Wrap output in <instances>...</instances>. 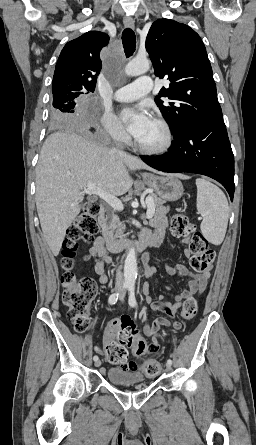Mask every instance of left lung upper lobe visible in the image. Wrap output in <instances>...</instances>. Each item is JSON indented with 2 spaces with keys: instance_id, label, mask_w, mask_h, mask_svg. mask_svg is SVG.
Returning a JSON list of instances; mask_svg holds the SVG:
<instances>
[{
  "instance_id": "5c2ea615",
  "label": "left lung upper lobe",
  "mask_w": 256,
  "mask_h": 445,
  "mask_svg": "<svg viewBox=\"0 0 256 445\" xmlns=\"http://www.w3.org/2000/svg\"><path fill=\"white\" fill-rule=\"evenodd\" d=\"M155 75L169 81L155 98L176 134L188 121H223L215 81L205 46L189 26L169 19L155 21L146 38ZM166 97L169 102H163Z\"/></svg>"
}]
</instances>
